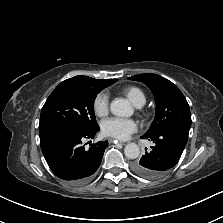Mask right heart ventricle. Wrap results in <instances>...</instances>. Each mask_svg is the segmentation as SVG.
I'll return each instance as SVG.
<instances>
[{"instance_id": "obj_1", "label": "right heart ventricle", "mask_w": 223, "mask_h": 223, "mask_svg": "<svg viewBox=\"0 0 223 223\" xmlns=\"http://www.w3.org/2000/svg\"><path fill=\"white\" fill-rule=\"evenodd\" d=\"M122 93L132 102L136 107H141L146 102L145 93L136 86H127L122 89Z\"/></svg>"}]
</instances>
